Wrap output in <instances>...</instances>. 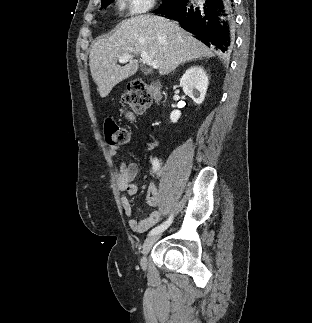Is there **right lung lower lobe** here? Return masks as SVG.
<instances>
[{"instance_id":"1","label":"right lung lower lobe","mask_w":312,"mask_h":323,"mask_svg":"<svg viewBox=\"0 0 312 323\" xmlns=\"http://www.w3.org/2000/svg\"><path fill=\"white\" fill-rule=\"evenodd\" d=\"M234 0H180L171 8L156 13L179 22L208 47L223 53L233 48L235 29Z\"/></svg>"}]
</instances>
